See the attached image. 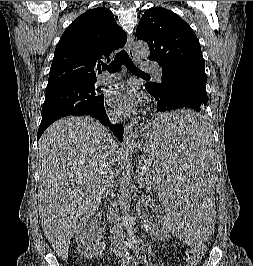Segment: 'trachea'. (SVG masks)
<instances>
[{"instance_id":"3493384b","label":"trachea","mask_w":253,"mask_h":266,"mask_svg":"<svg viewBox=\"0 0 253 266\" xmlns=\"http://www.w3.org/2000/svg\"><path fill=\"white\" fill-rule=\"evenodd\" d=\"M122 65H125L127 69L134 74L148 75L134 65L133 61L124 49L116 54L114 60L109 65H104L102 70H107L110 73H114L119 71Z\"/></svg>"}]
</instances>
